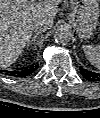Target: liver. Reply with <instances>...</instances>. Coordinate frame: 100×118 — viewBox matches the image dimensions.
<instances>
[{"label": "liver", "mask_w": 100, "mask_h": 118, "mask_svg": "<svg viewBox=\"0 0 100 118\" xmlns=\"http://www.w3.org/2000/svg\"><path fill=\"white\" fill-rule=\"evenodd\" d=\"M61 0H0V65L10 66L21 55L32 37L31 24L44 21L49 28L54 24L57 5ZM24 4V6H20Z\"/></svg>", "instance_id": "1"}]
</instances>
